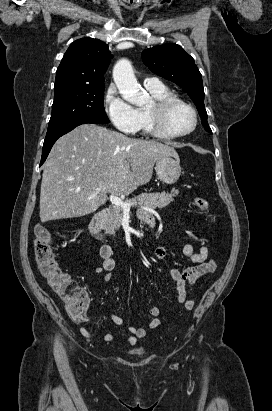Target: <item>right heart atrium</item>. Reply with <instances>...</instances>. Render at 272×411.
Wrapping results in <instances>:
<instances>
[{
  "instance_id": "d8ad5b80",
  "label": "right heart atrium",
  "mask_w": 272,
  "mask_h": 411,
  "mask_svg": "<svg viewBox=\"0 0 272 411\" xmlns=\"http://www.w3.org/2000/svg\"><path fill=\"white\" fill-rule=\"evenodd\" d=\"M105 112L120 131L133 134L140 128L139 110L127 102L117 91L115 86H110L104 96Z\"/></svg>"
}]
</instances>
